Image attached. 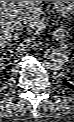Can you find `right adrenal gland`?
<instances>
[{
  "instance_id": "obj_1",
  "label": "right adrenal gland",
  "mask_w": 74,
  "mask_h": 122,
  "mask_svg": "<svg viewBox=\"0 0 74 122\" xmlns=\"http://www.w3.org/2000/svg\"><path fill=\"white\" fill-rule=\"evenodd\" d=\"M18 39H19V33H15L14 36H13V38L10 39V41L8 42L7 45L11 44V42H13V41L14 42H17Z\"/></svg>"
}]
</instances>
